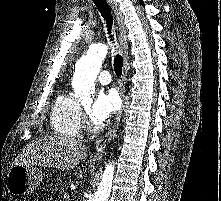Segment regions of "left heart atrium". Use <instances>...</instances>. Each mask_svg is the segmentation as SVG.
<instances>
[{
  "label": "left heart atrium",
  "instance_id": "1",
  "mask_svg": "<svg viewBox=\"0 0 221 201\" xmlns=\"http://www.w3.org/2000/svg\"><path fill=\"white\" fill-rule=\"evenodd\" d=\"M120 107V100L113 90L101 91L89 110L90 118L95 123L108 120Z\"/></svg>",
  "mask_w": 221,
  "mask_h": 201
}]
</instances>
